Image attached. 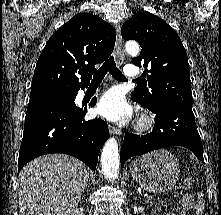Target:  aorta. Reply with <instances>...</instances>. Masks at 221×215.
Masks as SVG:
<instances>
[{
    "label": "aorta",
    "mask_w": 221,
    "mask_h": 215,
    "mask_svg": "<svg viewBox=\"0 0 221 215\" xmlns=\"http://www.w3.org/2000/svg\"><path fill=\"white\" fill-rule=\"evenodd\" d=\"M125 51L130 55H137L140 52L138 43L128 42L125 44ZM101 167L106 178L115 180L119 173V149L115 138L106 141L101 154Z\"/></svg>",
    "instance_id": "obj_1"
}]
</instances>
